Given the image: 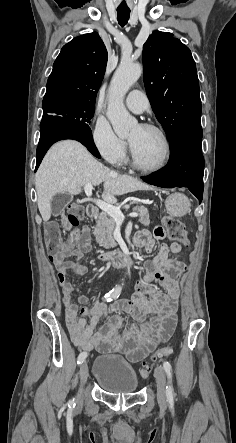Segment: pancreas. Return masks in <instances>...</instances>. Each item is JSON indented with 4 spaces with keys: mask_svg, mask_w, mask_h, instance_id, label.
I'll return each mask as SVG.
<instances>
[{
    "mask_svg": "<svg viewBox=\"0 0 236 443\" xmlns=\"http://www.w3.org/2000/svg\"><path fill=\"white\" fill-rule=\"evenodd\" d=\"M134 212L138 213L139 222L144 226L150 225L149 213L144 206H135ZM93 234L96 238V242L99 246L104 248H111L116 246V242L113 238V232L115 229V220L109 216L106 212L97 214L96 225L93 227Z\"/></svg>",
    "mask_w": 236,
    "mask_h": 443,
    "instance_id": "1",
    "label": "pancreas"
}]
</instances>
